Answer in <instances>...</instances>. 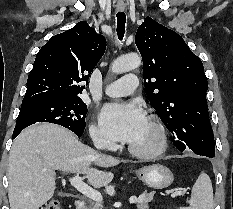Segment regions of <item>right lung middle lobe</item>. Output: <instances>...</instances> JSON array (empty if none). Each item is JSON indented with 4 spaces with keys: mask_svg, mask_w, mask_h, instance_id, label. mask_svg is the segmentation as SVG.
Listing matches in <instances>:
<instances>
[{
    "mask_svg": "<svg viewBox=\"0 0 233 209\" xmlns=\"http://www.w3.org/2000/svg\"><path fill=\"white\" fill-rule=\"evenodd\" d=\"M86 114L87 106L81 99L22 103L14 131L23 130L34 123L49 122L83 133Z\"/></svg>",
    "mask_w": 233,
    "mask_h": 209,
    "instance_id": "right-lung-middle-lobe-1",
    "label": "right lung middle lobe"
}]
</instances>
